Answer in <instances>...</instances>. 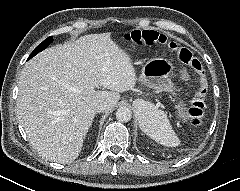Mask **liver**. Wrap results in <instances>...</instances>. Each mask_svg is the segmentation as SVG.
<instances>
[{"label": "liver", "mask_w": 240, "mask_h": 191, "mask_svg": "<svg viewBox=\"0 0 240 191\" xmlns=\"http://www.w3.org/2000/svg\"><path fill=\"white\" fill-rule=\"evenodd\" d=\"M137 81L129 56L110 33L81 36L68 45L49 47L29 60L19 79L17 117L29 142L44 158L74 161L96 112L111 111L120 93ZM108 90H95L96 88Z\"/></svg>", "instance_id": "obj_1"}]
</instances>
